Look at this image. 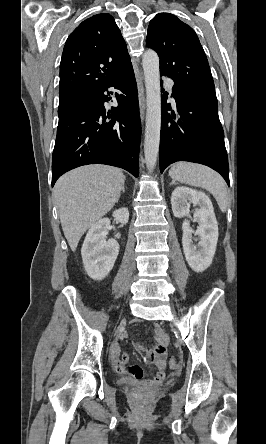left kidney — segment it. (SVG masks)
I'll list each match as a JSON object with an SVG mask.
<instances>
[{
	"mask_svg": "<svg viewBox=\"0 0 266 444\" xmlns=\"http://www.w3.org/2000/svg\"><path fill=\"white\" fill-rule=\"evenodd\" d=\"M191 203L199 207L193 214L194 221L198 222L199 227L194 232L190 228V222L188 220L183 221V251L191 269L195 272H203L212 264L215 255L218 241V223L212 202L205 193L183 186L174 189L171 196V205L176 217L180 218L188 215ZM193 233L199 237L197 245L193 244Z\"/></svg>",
	"mask_w": 266,
	"mask_h": 444,
	"instance_id": "5707ae66",
	"label": "left kidney"
}]
</instances>
